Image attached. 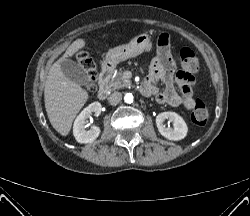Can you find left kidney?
<instances>
[{
  "label": "left kidney",
  "instance_id": "5707ae66",
  "mask_svg": "<svg viewBox=\"0 0 250 216\" xmlns=\"http://www.w3.org/2000/svg\"><path fill=\"white\" fill-rule=\"evenodd\" d=\"M169 119L173 122V128H166L164 121ZM156 124L158 131L168 140L178 141L186 137L188 127L184 119L175 112H163L157 115Z\"/></svg>",
  "mask_w": 250,
  "mask_h": 216
}]
</instances>
